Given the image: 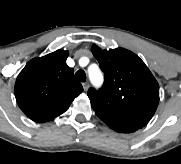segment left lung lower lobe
Here are the masks:
<instances>
[{"label": "left lung lower lobe", "mask_w": 181, "mask_h": 164, "mask_svg": "<svg viewBox=\"0 0 181 164\" xmlns=\"http://www.w3.org/2000/svg\"><path fill=\"white\" fill-rule=\"evenodd\" d=\"M98 117L106 123L111 129L117 131V132H122V133H131L136 130H138L140 127H137L133 124L120 121L114 118H110L105 115H98Z\"/></svg>", "instance_id": "obj_1"}]
</instances>
